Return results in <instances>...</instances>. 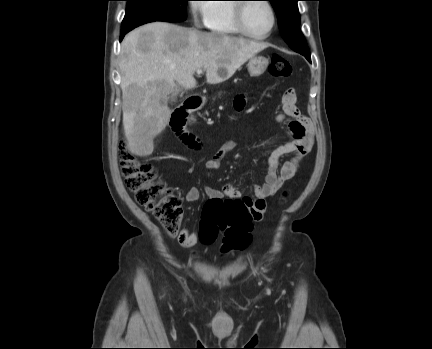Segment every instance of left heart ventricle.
<instances>
[{"label": "left heart ventricle", "instance_id": "b2bd125f", "mask_svg": "<svg viewBox=\"0 0 432 349\" xmlns=\"http://www.w3.org/2000/svg\"><path fill=\"white\" fill-rule=\"evenodd\" d=\"M245 23L250 32L256 35L265 34L272 24L269 8L262 2L249 4L245 11Z\"/></svg>", "mask_w": 432, "mask_h": 349}]
</instances>
